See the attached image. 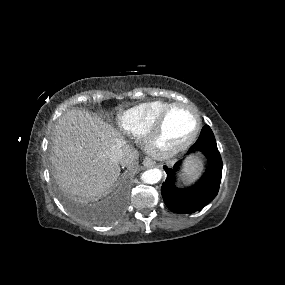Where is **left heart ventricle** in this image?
Wrapping results in <instances>:
<instances>
[{"instance_id": "obj_1", "label": "left heart ventricle", "mask_w": 285, "mask_h": 285, "mask_svg": "<svg viewBox=\"0 0 285 285\" xmlns=\"http://www.w3.org/2000/svg\"><path fill=\"white\" fill-rule=\"evenodd\" d=\"M195 127V115L188 109L176 108L165 121L159 144L163 147L180 144L193 133Z\"/></svg>"}]
</instances>
